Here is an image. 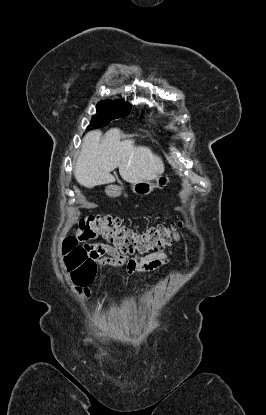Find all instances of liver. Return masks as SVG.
Segmentation results:
<instances>
[{
    "instance_id": "liver-1",
    "label": "liver",
    "mask_w": 266,
    "mask_h": 415,
    "mask_svg": "<svg viewBox=\"0 0 266 415\" xmlns=\"http://www.w3.org/2000/svg\"><path fill=\"white\" fill-rule=\"evenodd\" d=\"M116 168L123 180L134 184L163 174L164 163L149 147L135 146L132 140L121 141L118 128L104 136L100 130L88 132L74 166L77 182L86 188L113 183L111 171Z\"/></svg>"
}]
</instances>
